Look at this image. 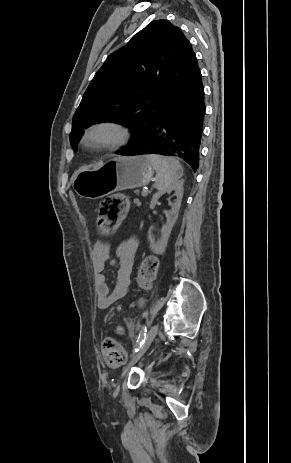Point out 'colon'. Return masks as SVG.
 <instances>
[{
  "label": "colon",
  "instance_id": "5ec220e1",
  "mask_svg": "<svg viewBox=\"0 0 291 463\" xmlns=\"http://www.w3.org/2000/svg\"><path fill=\"white\" fill-rule=\"evenodd\" d=\"M128 208V200L123 195H112L105 198L98 215V228L103 232L115 230L121 223ZM156 267L153 259L148 260L142 270L141 281L146 284L152 277ZM102 355L105 363L111 367H118L125 360V353L119 343L111 337L102 343Z\"/></svg>",
  "mask_w": 291,
  "mask_h": 463
}]
</instances>
